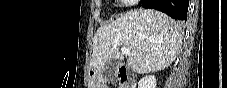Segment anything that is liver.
I'll return each mask as SVG.
<instances>
[{
    "instance_id": "liver-1",
    "label": "liver",
    "mask_w": 227,
    "mask_h": 88,
    "mask_svg": "<svg viewBox=\"0 0 227 88\" xmlns=\"http://www.w3.org/2000/svg\"><path fill=\"white\" fill-rule=\"evenodd\" d=\"M183 31L176 21L153 9H135L100 27L93 39L92 69L103 68L113 59L123 60L119 48L130 50L127 63L133 72L163 70L176 59Z\"/></svg>"
}]
</instances>
